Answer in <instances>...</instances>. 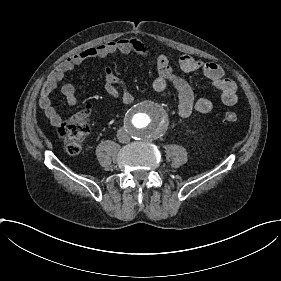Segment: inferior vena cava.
<instances>
[{
	"label": "inferior vena cava",
	"mask_w": 281,
	"mask_h": 281,
	"mask_svg": "<svg viewBox=\"0 0 281 281\" xmlns=\"http://www.w3.org/2000/svg\"><path fill=\"white\" fill-rule=\"evenodd\" d=\"M117 138L120 143H129L130 142V137L124 128H120L117 131Z\"/></svg>",
	"instance_id": "602c4592"
}]
</instances>
